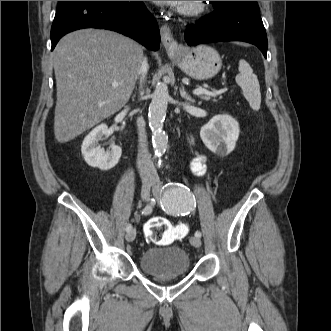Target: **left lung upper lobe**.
Returning <instances> with one entry per match:
<instances>
[{
  "label": "left lung upper lobe",
  "instance_id": "1",
  "mask_svg": "<svg viewBox=\"0 0 331 331\" xmlns=\"http://www.w3.org/2000/svg\"><path fill=\"white\" fill-rule=\"evenodd\" d=\"M214 7H217L223 3H227V2H250V1H210Z\"/></svg>",
  "mask_w": 331,
  "mask_h": 331
}]
</instances>
